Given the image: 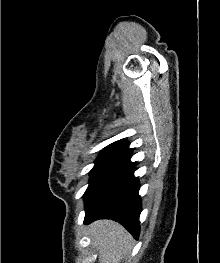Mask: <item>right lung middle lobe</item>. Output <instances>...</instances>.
<instances>
[{"label":"right lung middle lobe","mask_w":220,"mask_h":263,"mask_svg":"<svg viewBox=\"0 0 220 263\" xmlns=\"http://www.w3.org/2000/svg\"><path fill=\"white\" fill-rule=\"evenodd\" d=\"M115 156V154L112 153H101L98 158L95 161V166L91 170V177H90V182L96 178L100 170Z\"/></svg>","instance_id":"1"}]
</instances>
